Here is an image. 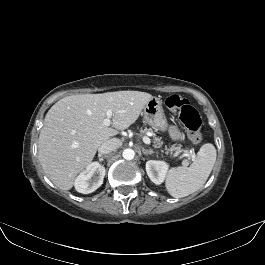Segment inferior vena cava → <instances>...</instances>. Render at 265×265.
<instances>
[{
	"instance_id": "obj_1",
	"label": "inferior vena cava",
	"mask_w": 265,
	"mask_h": 265,
	"mask_svg": "<svg viewBox=\"0 0 265 265\" xmlns=\"http://www.w3.org/2000/svg\"><path fill=\"white\" fill-rule=\"evenodd\" d=\"M121 145V142L119 139L112 138L106 142H104L99 148L98 152L100 155H105L113 150L117 149Z\"/></svg>"
}]
</instances>
